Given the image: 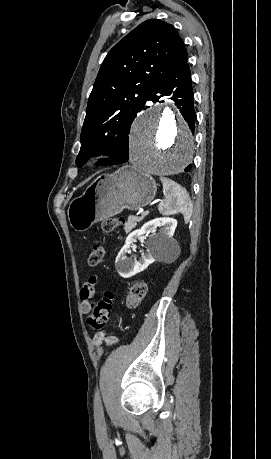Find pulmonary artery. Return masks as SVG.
Listing matches in <instances>:
<instances>
[{"label":"pulmonary artery","mask_w":271,"mask_h":459,"mask_svg":"<svg viewBox=\"0 0 271 459\" xmlns=\"http://www.w3.org/2000/svg\"><path fill=\"white\" fill-rule=\"evenodd\" d=\"M145 104H146L147 106H152V105L154 104V99H153L152 97H147V98L145 99Z\"/></svg>","instance_id":"obj_1"}]
</instances>
